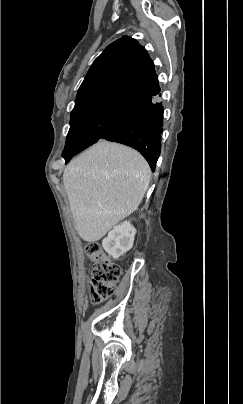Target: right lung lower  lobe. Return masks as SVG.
I'll return each instance as SVG.
<instances>
[{"label":"right lung lower lobe","instance_id":"obj_1","mask_svg":"<svg viewBox=\"0 0 243 404\" xmlns=\"http://www.w3.org/2000/svg\"><path fill=\"white\" fill-rule=\"evenodd\" d=\"M159 92L137 97L121 109L99 140L128 145L138 150L152 171L161 152L163 107L157 102Z\"/></svg>","mask_w":243,"mask_h":404}]
</instances>
